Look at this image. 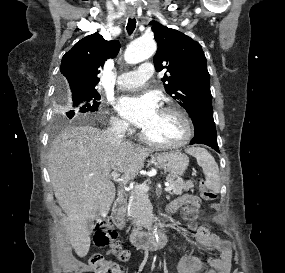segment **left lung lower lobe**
<instances>
[{"label":"left lung lower lobe","mask_w":285,"mask_h":273,"mask_svg":"<svg viewBox=\"0 0 285 273\" xmlns=\"http://www.w3.org/2000/svg\"><path fill=\"white\" fill-rule=\"evenodd\" d=\"M191 119L195 135L190 144H205L219 152L213 111L195 113Z\"/></svg>","instance_id":"left-lung-lower-lobe-1"}]
</instances>
